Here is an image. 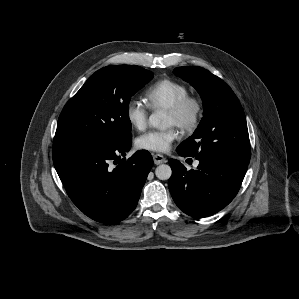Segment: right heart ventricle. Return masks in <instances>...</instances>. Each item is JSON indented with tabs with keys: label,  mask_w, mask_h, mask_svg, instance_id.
Wrapping results in <instances>:
<instances>
[{
	"label": "right heart ventricle",
	"mask_w": 299,
	"mask_h": 299,
	"mask_svg": "<svg viewBox=\"0 0 299 299\" xmlns=\"http://www.w3.org/2000/svg\"><path fill=\"white\" fill-rule=\"evenodd\" d=\"M188 94L185 84L169 78L155 82L145 91L149 106L154 110L168 109Z\"/></svg>",
	"instance_id": "1"
}]
</instances>
